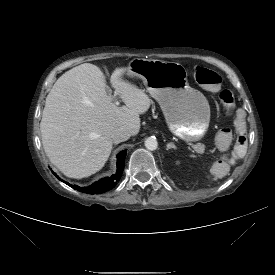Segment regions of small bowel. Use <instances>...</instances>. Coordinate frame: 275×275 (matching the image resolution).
Instances as JSON below:
<instances>
[{"label": "small bowel", "mask_w": 275, "mask_h": 275, "mask_svg": "<svg viewBox=\"0 0 275 275\" xmlns=\"http://www.w3.org/2000/svg\"><path fill=\"white\" fill-rule=\"evenodd\" d=\"M233 123L237 133L246 132V115L242 109H237L234 112ZM211 142L217 150L225 151L233 145L234 137L230 130L220 128L212 134ZM235 157L240 156L235 155L232 158L226 154L217 156L209 168L210 177L214 180H221L227 176L233 166Z\"/></svg>", "instance_id": "small-bowel-1"}]
</instances>
